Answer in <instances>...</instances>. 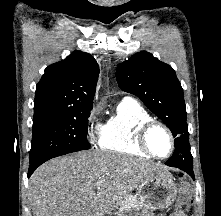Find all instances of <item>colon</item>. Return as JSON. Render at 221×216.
<instances>
[{
  "label": "colon",
  "mask_w": 221,
  "mask_h": 216,
  "mask_svg": "<svg viewBox=\"0 0 221 216\" xmlns=\"http://www.w3.org/2000/svg\"><path fill=\"white\" fill-rule=\"evenodd\" d=\"M190 203H191V199H190L189 185L187 183H184L180 189V196H179L177 207L185 208Z\"/></svg>",
  "instance_id": "colon-1"
}]
</instances>
